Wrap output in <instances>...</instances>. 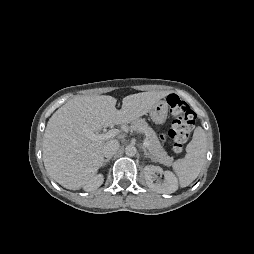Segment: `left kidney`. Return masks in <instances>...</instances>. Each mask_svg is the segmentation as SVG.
I'll use <instances>...</instances> for the list:
<instances>
[{
  "mask_svg": "<svg viewBox=\"0 0 254 254\" xmlns=\"http://www.w3.org/2000/svg\"><path fill=\"white\" fill-rule=\"evenodd\" d=\"M157 174L164 175L163 182L157 178ZM144 177L147 186L157 193L171 194L178 189V180L176 176L171 171H164L158 166H145Z\"/></svg>",
  "mask_w": 254,
  "mask_h": 254,
  "instance_id": "5707ae66",
  "label": "left kidney"
}]
</instances>
